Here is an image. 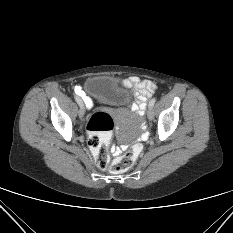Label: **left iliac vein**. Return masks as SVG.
<instances>
[{
	"mask_svg": "<svg viewBox=\"0 0 233 233\" xmlns=\"http://www.w3.org/2000/svg\"><path fill=\"white\" fill-rule=\"evenodd\" d=\"M153 116H154V114H153L152 108L148 107V110H147V117H148V119L152 120Z\"/></svg>",
	"mask_w": 233,
	"mask_h": 233,
	"instance_id": "1",
	"label": "left iliac vein"
}]
</instances>
